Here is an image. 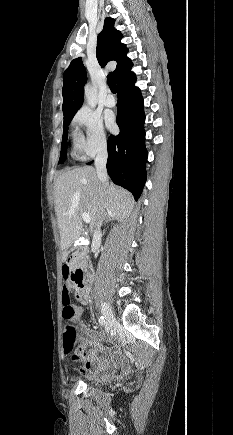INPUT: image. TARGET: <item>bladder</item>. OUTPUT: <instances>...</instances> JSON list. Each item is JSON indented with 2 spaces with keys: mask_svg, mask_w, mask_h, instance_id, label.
Returning a JSON list of instances; mask_svg holds the SVG:
<instances>
[{
  "mask_svg": "<svg viewBox=\"0 0 233 435\" xmlns=\"http://www.w3.org/2000/svg\"><path fill=\"white\" fill-rule=\"evenodd\" d=\"M116 380V378H113V379H111L108 383L110 384V383H113V381H115Z\"/></svg>",
  "mask_w": 233,
  "mask_h": 435,
  "instance_id": "bladder-1",
  "label": "bladder"
}]
</instances>
